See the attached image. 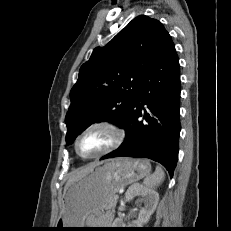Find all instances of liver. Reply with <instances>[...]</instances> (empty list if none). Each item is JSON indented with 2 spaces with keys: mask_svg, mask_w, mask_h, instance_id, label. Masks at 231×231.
<instances>
[{
  "mask_svg": "<svg viewBox=\"0 0 231 231\" xmlns=\"http://www.w3.org/2000/svg\"><path fill=\"white\" fill-rule=\"evenodd\" d=\"M98 165H100L99 162H94V163H91V164H89V165H87V166H85V167H83V168H81L79 170H76V171L72 172L70 174V176H69V179H68V181L66 183V186H65L64 190L66 191V189L72 183H74L76 180H78V179L86 176L87 174L91 173L93 171V169Z\"/></svg>",
  "mask_w": 231,
  "mask_h": 231,
  "instance_id": "obj_1",
  "label": "liver"
}]
</instances>
